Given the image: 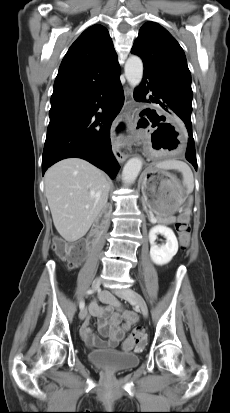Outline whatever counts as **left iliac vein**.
I'll use <instances>...</instances> for the list:
<instances>
[{
  "label": "left iliac vein",
  "instance_id": "obj_1",
  "mask_svg": "<svg viewBox=\"0 0 230 413\" xmlns=\"http://www.w3.org/2000/svg\"><path fill=\"white\" fill-rule=\"evenodd\" d=\"M118 297L123 298L129 302L136 304L142 315L148 317V307L144 298L135 290L131 288L116 289L113 291Z\"/></svg>",
  "mask_w": 230,
  "mask_h": 413
}]
</instances>
